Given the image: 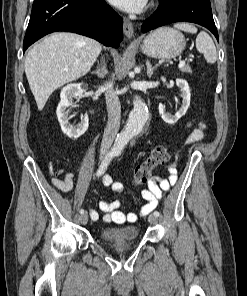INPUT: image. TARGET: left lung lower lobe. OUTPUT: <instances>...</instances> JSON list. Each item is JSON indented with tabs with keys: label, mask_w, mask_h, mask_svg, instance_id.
I'll list each match as a JSON object with an SVG mask.
<instances>
[{
	"label": "left lung lower lobe",
	"mask_w": 247,
	"mask_h": 296,
	"mask_svg": "<svg viewBox=\"0 0 247 296\" xmlns=\"http://www.w3.org/2000/svg\"><path fill=\"white\" fill-rule=\"evenodd\" d=\"M159 2L157 11L142 25L143 33L165 24L185 21L206 27L219 40L210 0H159Z\"/></svg>",
	"instance_id": "obj_1"
}]
</instances>
